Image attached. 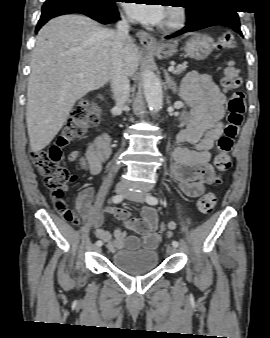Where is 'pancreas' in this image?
<instances>
[{
  "label": "pancreas",
  "mask_w": 270,
  "mask_h": 338,
  "mask_svg": "<svg viewBox=\"0 0 270 338\" xmlns=\"http://www.w3.org/2000/svg\"><path fill=\"white\" fill-rule=\"evenodd\" d=\"M187 68V63H183L182 65L177 66V68L173 71V74H180L185 71Z\"/></svg>",
  "instance_id": "1"
}]
</instances>
